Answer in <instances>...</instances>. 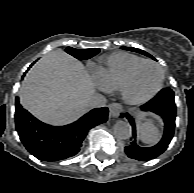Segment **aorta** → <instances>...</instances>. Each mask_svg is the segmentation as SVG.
I'll return each instance as SVG.
<instances>
[{
    "label": "aorta",
    "instance_id": "obj_1",
    "mask_svg": "<svg viewBox=\"0 0 194 193\" xmlns=\"http://www.w3.org/2000/svg\"><path fill=\"white\" fill-rule=\"evenodd\" d=\"M114 134L119 139H129L132 135V128L125 120H120L114 125Z\"/></svg>",
    "mask_w": 194,
    "mask_h": 193
}]
</instances>
